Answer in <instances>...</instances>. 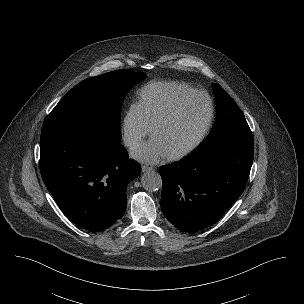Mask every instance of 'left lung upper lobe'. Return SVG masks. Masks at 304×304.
<instances>
[{"instance_id":"1","label":"left lung upper lobe","mask_w":304,"mask_h":304,"mask_svg":"<svg viewBox=\"0 0 304 304\" xmlns=\"http://www.w3.org/2000/svg\"><path fill=\"white\" fill-rule=\"evenodd\" d=\"M213 88L216 98V122L208 137L192 155L224 142L253 139L248 123L235 101L220 85L214 84Z\"/></svg>"}]
</instances>
